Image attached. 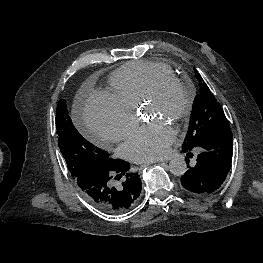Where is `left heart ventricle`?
Instances as JSON below:
<instances>
[{"mask_svg": "<svg viewBox=\"0 0 263 263\" xmlns=\"http://www.w3.org/2000/svg\"><path fill=\"white\" fill-rule=\"evenodd\" d=\"M184 99V95L178 89L171 88L160 99L146 103L145 114L148 117L173 121L174 115L183 106Z\"/></svg>", "mask_w": 263, "mask_h": 263, "instance_id": "b2bd125f", "label": "left heart ventricle"}]
</instances>
